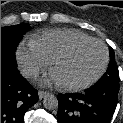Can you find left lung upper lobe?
<instances>
[{"instance_id": "obj_1", "label": "left lung upper lobe", "mask_w": 123, "mask_h": 123, "mask_svg": "<svg viewBox=\"0 0 123 123\" xmlns=\"http://www.w3.org/2000/svg\"><path fill=\"white\" fill-rule=\"evenodd\" d=\"M109 52H110V63L108 69L96 84L119 87V72L115 62V54L112 48H109Z\"/></svg>"}]
</instances>
